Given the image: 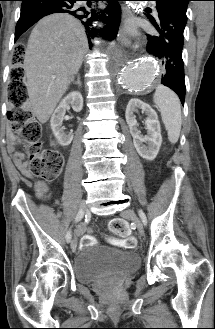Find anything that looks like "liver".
Masks as SVG:
<instances>
[{
  "label": "liver",
  "mask_w": 215,
  "mask_h": 329,
  "mask_svg": "<svg viewBox=\"0 0 215 329\" xmlns=\"http://www.w3.org/2000/svg\"><path fill=\"white\" fill-rule=\"evenodd\" d=\"M88 49L85 29L69 14H53L33 28L24 58L28 102L45 123L78 73Z\"/></svg>",
  "instance_id": "obj_1"
}]
</instances>
